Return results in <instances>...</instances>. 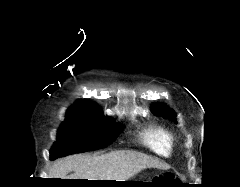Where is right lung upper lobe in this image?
<instances>
[{"label":"right lung upper lobe","mask_w":240,"mask_h":187,"mask_svg":"<svg viewBox=\"0 0 240 187\" xmlns=\"http://www.w3.org/2000/svg\"><path fill=\"white\" fill-rule=\"evenodd\" d=\"M68 111L70 112H92V113H101V110L97 105L90 101L80 100L71 106Z\"/></svg>","instance_id":"right-lung-upper-lobe-1"}]
</instances>
